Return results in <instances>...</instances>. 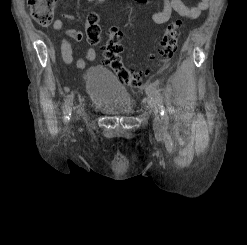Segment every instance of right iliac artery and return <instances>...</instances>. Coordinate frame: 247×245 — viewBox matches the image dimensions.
I'll use <instances>...</instances> for the list:
<instances>
[{
	"label": "right iliac artery",
	"instance_id": "82829eb1",
	"mask_svg": "<svg viewBox=\"0 0 247 245\" xmlns=\"http://www.w3.org/2000/svg\"><path fill=\"white\" fill-rule=\"evenodd\" d=\"M72 101H73V93L68 95L66 102H65V109H64L65 121L70 120Z\"/></svg>",
	"mask_w": 247,
	"mask_h": 245
}]
</instances>
